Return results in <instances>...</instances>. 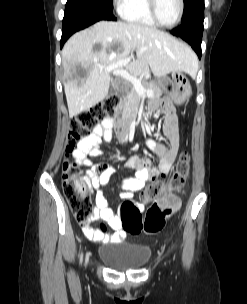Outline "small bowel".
Listing matches in <instances>:
<instances>
[{"label":"small bowel","mask_w":247,"mask_h":304,"mask_svg":"<svg viewBox=\"0 0 247 304\" xmlns=\"http://www.w3.org/2000/svg\"><path fill=\"white\" fill-rule=\"evenodd\" d=\"M161 106L159 101H154L150 105V111H155ZM164 110L163 133L169 145L148 139V147L158 156L157 167H152L148 158L137 155L131 156L124 162L128 169L135 170L133 178L125 179L121 184V200H129L134 192L140 191L147 186L150 181L161 177L165 178L170 172L175 158L179 151L180 138L178 131V117L172 104L165 102L162 104ZM114 119L106 118L101 124L95 127L92 134L82 139L77 148L72 151V158L76 164L86 168L85 179L88 185L95 192V208L87 223L81 224L82 231L87 239L93 242H119L124 238L123 222L119 215L110 207L108 200L104 196L102 187L108 184L111 175L115 172V167L110 163L94 164L89 157L102 155L101 142L109 143L113 139ZM147 199L138 204L140 211L145 210ZM105 221L116 232L109 234L106 227L93 229L91 222L96 220Z\"/></svg>","instance_id":"1"}]
</instances>
